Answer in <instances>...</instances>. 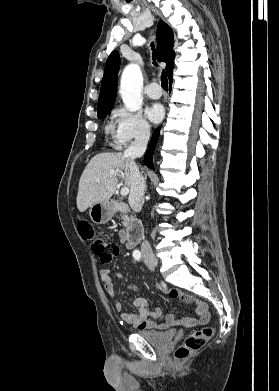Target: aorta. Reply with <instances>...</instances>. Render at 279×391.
<instances>
[{
  "label": "aorta",
  "instance_id": "obj_1",
  "mask_svg": "<svg viewBox=\"0 0 279 391\" xmlns=\"http://www.w3.org/2000/svg\"><path fill=\"white\" fill-rule=\"evenodd\" d=\"M143 77L140 67L130 63L123 70L120 83V95L127 110L135 112L142 106L141 88Z\"/></svg>",
  "mask_w": 279,
  "mask_h": 391
}]
</instances>
